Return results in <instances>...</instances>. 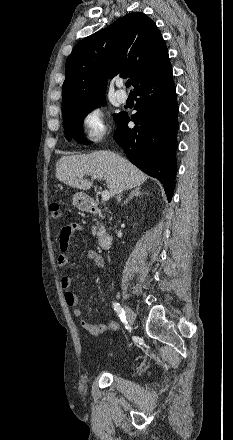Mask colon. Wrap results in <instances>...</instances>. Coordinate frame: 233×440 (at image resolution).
<instances>
[{
  "label": "colon",
  "mask_w": 233,
  "mask_h": 440,
  "mask_svg": "<svg viewBox=\"0 0 233 440\" xmlns=\"http://www.w3.org/2000/svg\"><path fill=\"white\" fill-rule=\"evenodd\" d=\"M50 216L53 220H61L63 218V212L59 203H52L50 205Z\"/></svg>",
  "instance_id": "obj_1"
}]
</instances>
